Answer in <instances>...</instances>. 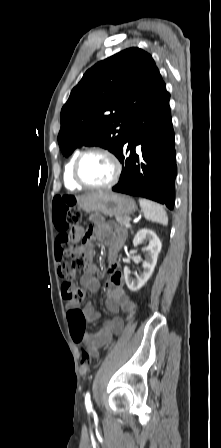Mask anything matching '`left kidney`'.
Instances as JSON below:
<instances>
[{
  "label": "left kidney",
  "mask_w": 221,
  "mask_h": 448,
  "mask_svg": "<svg viewBox=\"0 0 221 448\" xmlns=\"http://www.w3.org/2000/svg\"><path fill=\"white\" fill-rule=\"evenodd\" d=\"M145 241H149V245L148 247H146L147 258L143 262V273H141L140 276H137L136 279H133L130 276V270L128 269V267L126 266L124 268L126 285L133 292L143 287V285L151 277L157 263L158 254L161 251L162 247L161 241L156 233L146 228L141 229L137 232L133 239V245L137 246L138 244Z\"/></svg>",
  "instance_id": "left-kidney-1"
}]
</instances>
